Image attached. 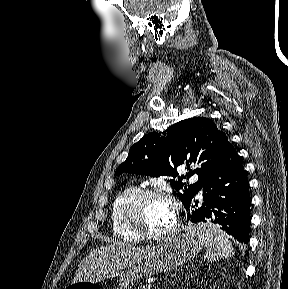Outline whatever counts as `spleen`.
Instances as JSON below:
<instances>
[{"label":"spleen","mask_w":288,"mask_h":289,"mask_svg":"<svg viewBox=\"0 0 288 289\" xmlns=\"http://www.w3.org/2000/svg\"><path fill=\"white\" fill-rule=\"evenodd\" d=\"M189 230L206 247V258L215 261L234 255L233 246L226 233L217 225L210 222L190 226Z\"/></svg>","instance_id":"3e777b00"}]
</instances>
